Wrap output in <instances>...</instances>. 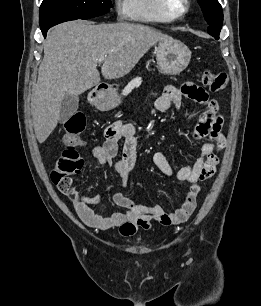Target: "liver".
<instances>
[{
	"instance_id": "6515ba94",
	"label": "liver",
	"mask_w": 261,
	"mask_h": 306,
	"mask_svg": "<svg viewBox=\"0 0 261 306\" xmlns=\"http://www.w3.org/2000/svg\"><path fill=\"white\" fill-rule=\"evenodd\" d=\"M172 39L151 27L133 23L92 25L69 21L55 26L43 44L44 57L31 100L36 138L45 142L59 121L66 94L78 96L100 82L97 59L104 58L105 79L127 75L149 49Z\"/></svg>"
}]
</instances>
